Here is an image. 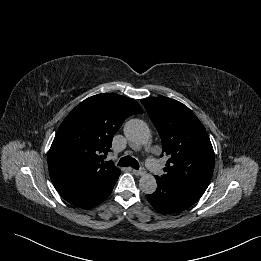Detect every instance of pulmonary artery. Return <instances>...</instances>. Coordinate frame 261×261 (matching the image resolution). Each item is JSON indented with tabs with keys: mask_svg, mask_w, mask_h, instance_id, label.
I'll list each match as a JSON object with an SVG mask.
<instances>
[{
	"mask_svg": "<svg viewBox=\"0 0 261 261\" xmlns=\"http://www.w3.org/2000/svg\"><path fill=\"white\" fill-rule=\"evenodd\" d=\"M146 165L148 166V168L150 169V171L155 174V175H159L162 172V167L160 165V163L158 162V160L154 159V158H149L146 161Z\"/></svg>",
	"mask_w": 261,
	"mask_h": 261,
	"instance_id": "1",
	"label": "pulmonary artery"
}]
</instances>
